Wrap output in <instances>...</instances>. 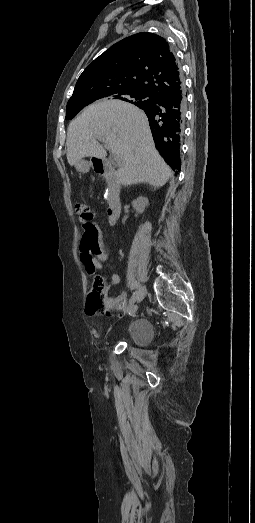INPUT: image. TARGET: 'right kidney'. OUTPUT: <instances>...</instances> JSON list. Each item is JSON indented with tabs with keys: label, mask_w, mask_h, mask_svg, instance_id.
Listing matches in <instances>:
<instances>
[{
	"label": "right kidney",
	"mask_w": 255,
	"mask_h": 523,
	"mask_svg": "<svg viewBox=\"0 0 255 523\" xmlns=\"http://www.w3.org/2000/svg\"><path fill=\"white\" fill-rule=\"evenodd\" d=\"M132 206L138 214H143L146 206H148V198H144V196H140V198H137V200H133Z\"/></svg>",
	"instance_id": "right-kidney-1"
}]
</instances>
